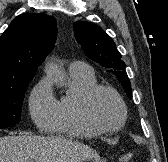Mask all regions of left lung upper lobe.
<instances>
[{"label":"left lung upper lobe","mask_w":168,"mask_h":162,"mask_svg":"<svg viewBox=\"0 0 168 162\" xmlns=\"http://www.w3.org/2000/svg\"><path fill=\"white\" fill-rule=\"evenodd\" d=\"M74 34L84 53L112 72L131 99V84L124 69L125 63L121 60L122 55L118 52L112 38L99 26L84 21L74 23Z\"/></svg>","instance_id":"1"}]
</instances>
